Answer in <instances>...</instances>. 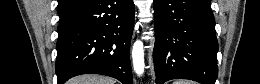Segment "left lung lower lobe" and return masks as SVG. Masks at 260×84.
<instances>
[{"label": "left lung lower lobe", "instance_id": "left-lung-lower-lobe-1", "mask_svg": "<svg viewBox=\"0 0 260 84\" xmlns=\"http://www.w3.org/2000/svg\"><path fill=\"white\" fill-rule=\"evenodd\" d=\"M156 83L215 84L218 43L210 0H154Z\"/></svg>", "mask_w": 260, "mask_h": 84}]
</instances>
